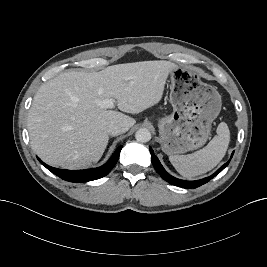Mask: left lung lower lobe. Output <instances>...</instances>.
<instances>
[{
  "instance_id": "obj_1",
  "label": "left lung lower lobe",
  "mask_w": 267,
  "mask_h": 267,
  "mask_svg": "<svg viewBox=\"0 0 267 267\" xmlns=\"http://www.w3.org/2000/svg\"><path fill=\"white\" fill-rule=\"evenodd\" d=\"M150 153H151V161L153 164V167L155 168V170L157 171V173L164 179L166 180L168 183L175 185V186H179L182 188H197L205 183H207L208 181H210L213 177H215L218 173H220L230 162V160L225 163L223 166H221L214 174H212L211 176H208L206 178L200 179V180H196V181H185V180H181L178 178H175L173 176H171L168 172H166V170L163 168V166L161 165L160 161L158 160V158L156 157V155L154 154L152 148L150 147ZM234 153V152H233ZM233 153L231 155V158L233 156Z\"/></svg>"
}]
</instances>
